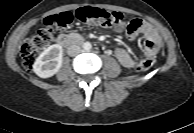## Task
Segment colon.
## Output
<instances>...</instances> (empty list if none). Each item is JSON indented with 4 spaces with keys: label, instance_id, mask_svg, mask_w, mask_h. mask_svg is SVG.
<instances>
[{
    "label": "colon",
    "instance_id": "obj_1",
    "mask_svg": "<svg viewBox=\"0 0 194 133\" xmlns=\"http://www.w3.org/2000/svg\"><path fill=\"white\" fill-rule=\"evenodd\" d=\"M83 24H94L103 27H122L127 24L120 12L108 11L93 6L78 8L74 14L63 12L49 16L44 20V27L40 28L34 35L27 38L20 47V55L25 68L30 69L45 46L51 41L53 35L61 28L66 27L73 18ZM153 56H145L137 65L135 70L143 72L153 66Z\"/></svg>",
    "mask_w": 194,
    "mask_h": 133
}]
</instances>
